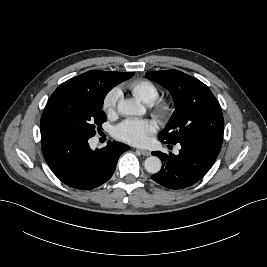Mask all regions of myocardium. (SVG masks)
<instances>
[{
	"label": "myocardium",
	"instance_id": "f54148a6",
	"mask_svg": "<svg viewBox=\"0 0 267 267\" xmlns=\"http://www.w3.org/2000/svg\"><path fill=\"white\" fill-rule=\"evenodd\" d=\"M153 115L160 121H168L174 111L172 102L166 98L157 99L154 103L150 104Z\"/></svg>",
	"mask_w": 267,
	"mask_h": 267
}]
</instances>
